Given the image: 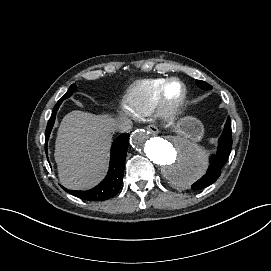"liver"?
Listing matches in <instances>:
<instances>
[{
  "instance_id": "6515ba94",
  "label": "liver",
  "mask_w": 271,
  "mask_h": 271,
  "mask_svg": "<svg viewBox=\"0 0 271 271\" xmlns=\"http://www.w3.org/2000/svg\"><path fill=\"white\" fill-rule=\"evenodd\" d=\"M117 122L118 119L107 114L77 110L64 116L57 132L54 153L63 186L79 190L101 180L107 166L111 133Z\"/></svg>"
}]
</instances>
